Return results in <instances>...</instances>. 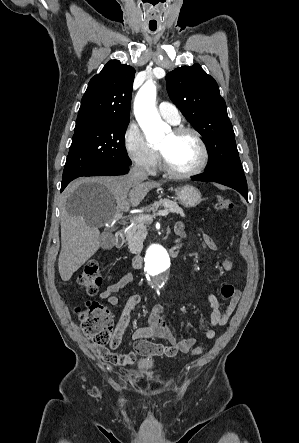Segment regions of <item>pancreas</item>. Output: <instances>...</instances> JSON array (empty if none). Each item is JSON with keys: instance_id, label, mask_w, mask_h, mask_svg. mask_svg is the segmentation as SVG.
<instances>
[{"instance_id": "cf45deb5", "label": "pancreas", "mask_w": 299, "mask_h": 443, "mask_svg": "<svg viewBox=\"0 0 299 443\" xmlns=\"http://www.w3.org/2000/svg\"><path fill=\"white\" fill-rule=\"evenodd\" d=\"M160 206L166 208L168 212L177 213L181 216H185L183 209L178 206V204L169 199H161L157 202H154L152 207L147 211H155ZM147 216L145 214H140L138 217ZM151 221L144 219H135L133 224L127 229L126 232V241L128 244V248L133 254H139L143 248V241L146 237V225L150 224Z\"/></svg>"}]
</instances>
